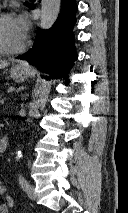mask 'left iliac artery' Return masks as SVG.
I'll use <instances>...</instances> for the list:
<instances>
[{"label": "left iliac artery", "mask_w": 128, "mask_h": 213, "mask_svg": "<svg viewBox=\"0 0 128 213\" xmlns=\"http://www.w3.org/2000/svg\"><path fill=\"white\" fill-rule=\"evenodd\" d=\"M19 184L21 185V188L24 191H27L29 184L28 181L22 175H19Z\"/></svg>", "instance_id": "obj_1"}]
</instances>
